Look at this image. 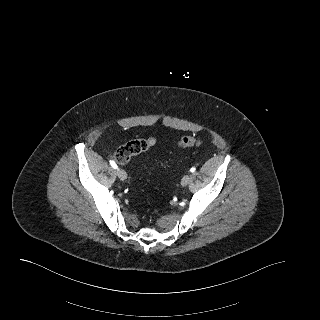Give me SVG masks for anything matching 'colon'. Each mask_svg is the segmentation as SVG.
Segmentation results:
<instances>
[{
  "label": "colon",
  "instance_id": "colon-1",
  "mask_svg": "<svg viewBox=\"0 0 320 320\" xmlns=\"http://www.w3.org/2000/svg\"><path fill=\"white\" fill-rule=\"evenodd\" d=\"M203 143V140L195 136H185L182 137L179 141V146L182 148L200 146ZM150 147V144L144 139L132 140L121 147H119L114 155V159L119 164H125L129 159L146 151Z\"/></svg>",
  "mask_w": 320,
  "mask_h": 320
}]
</instances>
